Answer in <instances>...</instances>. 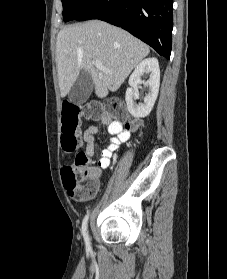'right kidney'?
Returning a JSON list of instances; mask_svg holds the SVG:
<instances>
[{
  "label": "right kidney",
  "instance_id": "right-kidney-1",
  "mask_svg": "<svg viewBox=\"0 0 227 279\" xmlns=\"http://www.w3.org/2000/svg\"><path fill=\"white\" fill-rule=\"evenodd\" d=\"M149 74V79L144 85L149 87V93L144 98V103H136L139 98L138 85L141 83V76ZM129 85L126 90L125 100L130 114L135 118H144L150 114L158 96L160 85V69L158 60L154 57L141 61L129 78Z\"/></svg>",
  "mask_w": 227,
  "mask_h": 279
}]
</instances>
